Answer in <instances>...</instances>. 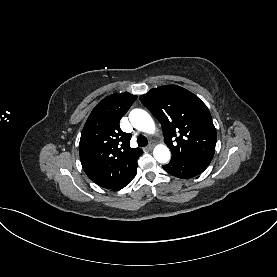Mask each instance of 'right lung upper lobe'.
Listing matches in <instances>:
<instances>
[{"instance_id": "1", "label": "right lung upper lobe", "mask_w": 277, "mask_h": 277, "mask_svg": "<svg viewBox=\"0 0 277 277\" xmlns=\"http://www.w3.org/2000/svg\"><path fill=\"white\" fill-rule=\"evenodd\" d=\"M137 96L128 92L105 97L92 110L81 133L79 155L87 176L97 185L113 189L137 166L142 154L130 147V133L120 129V119Z\"/></svg>"}]
</instances>
